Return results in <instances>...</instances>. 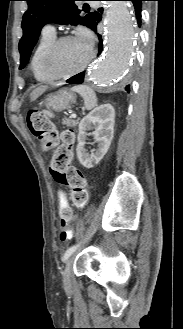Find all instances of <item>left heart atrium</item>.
Wrapping results in <instances>:
<instances>
[{"mask_svg":"<svg viewBox=\"0 0 183 329\" xmlns=\"http://www.w3.org/2000/svg\"><path fill=\"white\" fill-rule=\"evenodd\" d=\"M76 39H78L81 43L89 48L92 45V35L87 29L80 28L78 30Z\"/></svg>","mask_w":183,"mask_h":329,"instance_id":"left-heart-atrium-1","label":"left heart atrium"}]
</instances>
